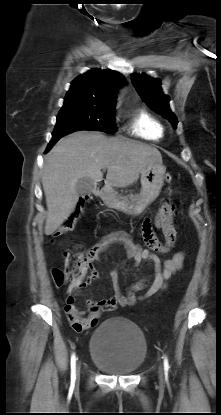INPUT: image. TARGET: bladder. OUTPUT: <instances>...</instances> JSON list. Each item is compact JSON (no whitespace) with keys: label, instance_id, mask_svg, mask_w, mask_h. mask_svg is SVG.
<instances>
[{"label":"bladder","instance_id":"obj_1","mask_svg":"<svg viewBox=\"0 0 221 415\" xmlns=\"http://www.w3.org/2000/svg\"><path fill=\"white\" fill-rule=\"evenodd\" d=\"M89 348L91 361L100 370L112 375H128L143 364L147 342L134 322L113 317L94 330Z\"/></svg>","mask_w":221,"mask_h":415}]
</instances>
